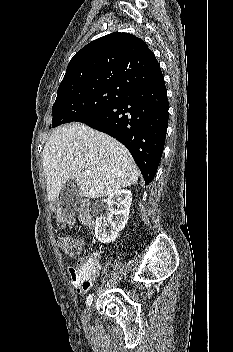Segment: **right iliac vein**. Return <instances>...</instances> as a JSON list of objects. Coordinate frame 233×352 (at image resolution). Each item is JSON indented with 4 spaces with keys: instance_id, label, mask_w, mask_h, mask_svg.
<instances>
[{
    "instance_id": "1",
    "label": "right iliac vein",
    "mask_w": 233,
    "mask_h": 352,
    "mask_svg": "<svg viewBox=\"0 0 233 352\" xmlns=\"http://www.w3.org/2000/svg\"><path fill=\"white\" fill-rule=\"evenodd\" d=\"M90 311H91V308H90V306H89V307L85 310V312H84V314H83V317H82L83 323L88 322L89 316H90Z\"/></svg>"
}]
</instances>
